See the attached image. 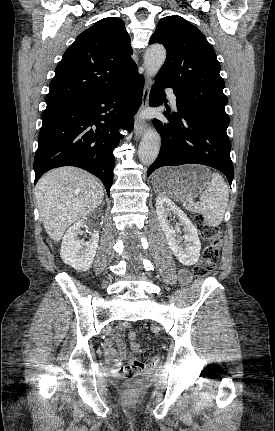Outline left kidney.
I'll use <instances>...</instances> for the list:
<instances>
[{"label":"left kidney","mask_w":275,"mask_h":431,"mask_svg":"<svg viewBox=\"0 0 275 431\" xmlns=\"http://www.w3.org/2000/svg\"><path fill=\"white\" fill-rule=\"evenodd\" d=\"M156 213L159 224L165 234L168 245L175 257L186 266L194 265L200 257L201 243L197 229L186 216V214L176 206L166 196H158L156 199ZM173 213L183 226L184 235L179 236L180 226L173 227L168 220V216ZM184 240V244H182Z\"/></svg>","instance_id":"5707ae66"}]
</instances>
